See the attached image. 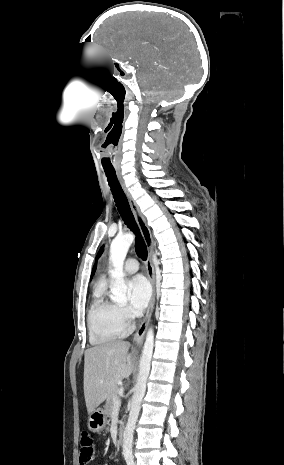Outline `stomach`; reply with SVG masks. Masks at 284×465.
Instances as JSON below:
<instances>
[{
	"mask_svg": "<svg viewBox=\"0 0 284 465\" xmlns=\"http://www.w3.org/2000/svg\"><path fill=\"white\" fill-rule=\"evenodd\" d=\"M106 415L103 409H95L93 413H89L87 427L92 433H100L106 425Z\"/></svg>",
	"mask_w": 284,
	"mask_h": 465,
	"instance_id": "0dacf381",
	"label": "stomach"
}]
</instances>
